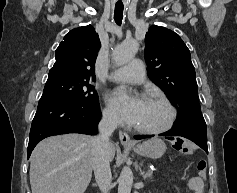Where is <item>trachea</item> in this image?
Here are the masks:
<instances>
[{
  "mask_svg": "<svg viewBox=\"0 0 237 193\" xmlns=\"http://www.w3.org/2000/svg\"><path fill=\"white\" fill-rule=\"evenodd\" d=\"M123 19V7L115 6L114 10V20L116 24L121 25Z\"/></svg>",
  "mask_w": 237,
  "mask_h": 193,
  "instance_id": "obj_1",
  "label": "trachea"
}]
</instances>
